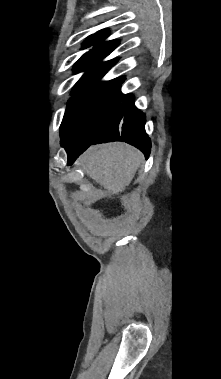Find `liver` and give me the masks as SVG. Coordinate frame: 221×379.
Instances as JSON below:
<instances>
[{
  "mask_svg": "<svg viewBox=\"0 0 221 379\" xmlns=\"http://www.w3.org/2000/svg\"><path fill=\"white\" fill-rule=\"evenodd\" d=\"M141 159L139 150L115 142L91 146L79 158V163L86 174L110 195H118L132 181Z\"/></svg>",
  "mask_w": 221,
  "mask_h": 379,
  "instance_id": "6515ba94",
  "label": "liver"
}]
</instances>
